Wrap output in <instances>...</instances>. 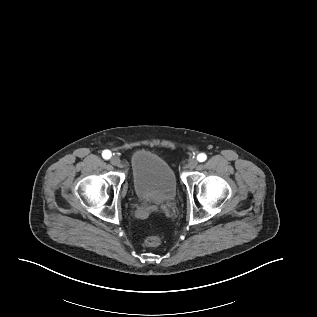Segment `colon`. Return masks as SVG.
Listing matches in <instances>:
<instances>
[{
  "label": "colon",
  "instance_id": "1",
  "mask_svg": "<svg viewBox=\"0 0 317 317\" xmlns=\"http://www.w3.org/2000/svg\"><path fill=\"white\" fill-rule=\"evenodd\" d=\"M144 243L146 246L149 247H156L160 245L161 243V238L158 235H153L145 238Z\"/></svg>",
  "mask_w": 317,
  "mask_h": 317
}]
</instances>
